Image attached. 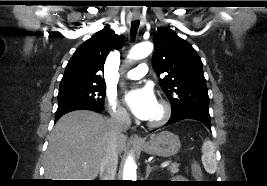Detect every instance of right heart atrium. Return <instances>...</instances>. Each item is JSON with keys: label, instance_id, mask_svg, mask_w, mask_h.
I'll list each match as a JSON object with an SVG mask.
<instances>
[{"label": "right heart atrium", "instance_id": "obj_1", "mask_svg": "<svg viewBox=\"0 0 267 186\" xmlns=\"http://www.w3.org/2000/svg\"><path fill=\"white\" fill-rule=\"evenodd\" d=\"M107 104L109 107V112L113 120L119 123H128L129 115L126 110L120 106L113 94L107 95Z\"/></svg>", "mask_w": 267, "mask_h": 186}]
</instances>
